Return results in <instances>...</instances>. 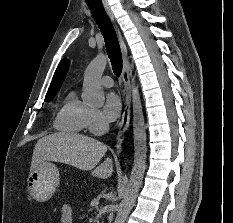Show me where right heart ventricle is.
Returning a JSON list of instances; mask_svg holds the SVG:
<instances>
[{
    "label": "right heart ventricle",
    "instance_id": "obj_1",
    "mask_svg": "<svg viewBox=\"0 0 233 223\" xmlns=\"http://www.w3.org/2000/svg\"><path fill=\"white\" fill-rule=\"evenodd\" d=\"M88 109L74 91H69L55 111L53 128L63 133L81 132L85 128Z\"/></svg>",
    "mask_w": 233,
    "mask_h": 223
}]
</instances>
